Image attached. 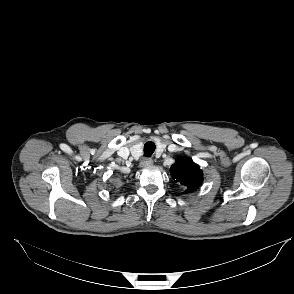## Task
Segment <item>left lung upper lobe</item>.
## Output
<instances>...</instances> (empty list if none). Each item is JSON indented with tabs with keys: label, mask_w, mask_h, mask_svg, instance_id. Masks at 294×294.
Returning a JSON list of instances; mask_svg holds the SVG:
<instances>
[{
	"label": "left lung upper lobe",
	"mask_w": 294,
	"mask_h": 294,
	"mask_svg": "<svg viewBox=\"0 0 294 294\" xmlns=\"http://www.w3.org/2000/svg\"><path fill=\"white\" fill-rule=\"evenodd\" d=\"M170 171L175 182L187 188L186 192L191 193L197 190L203 182L202 170L189 158L178 157Z\"/></svg>",
	"instance_id": "1"
}]
</instances>
